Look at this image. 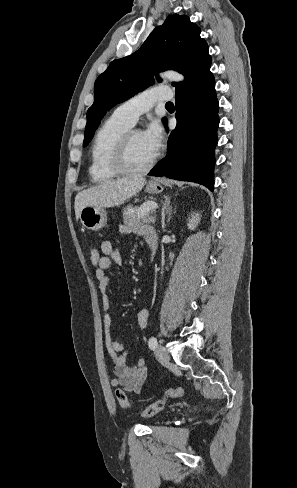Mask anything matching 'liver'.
Instances as JSON below:
<instances>
[{"label":"liver","mask_w":297,"mask_h":488,"mask_svg":"<svg viewBox=\"0 0 297 488\" xmlns=\"http://www.w3.org/2000/svg\"><path fill=\"white\" fill-rule=\"evenodd\" d=\"M146 179L139 175L126 176L117 180L107 181L79 192L75 197V214L80 216L82 208L113 207L123 204L136 195L145 185Z\"/></svg>","instance_id":"obj_1"}]
</instances>
